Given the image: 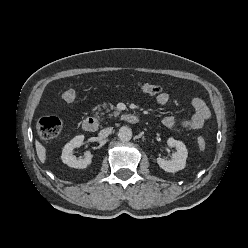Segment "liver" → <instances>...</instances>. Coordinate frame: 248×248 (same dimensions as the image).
<instances>
[{
    "label": "liver",
    "instance_id": "1",
    "mask_svg": "<svg viewBox=\"0 0 248 248\" xmlns=\"http://www.w3.org/2000/svg\"><path fill=\"white\" fill-rule=\"evenodd\" d=\"M36 145V152H37V156L39 158V160L41 161V163H44L46 161V149L45 147L36 140L35 142Z\"/></svg>",
    "mask_w": 248,
    "mask_h": 248
}]
</instances>
